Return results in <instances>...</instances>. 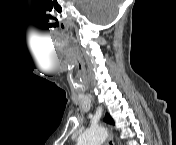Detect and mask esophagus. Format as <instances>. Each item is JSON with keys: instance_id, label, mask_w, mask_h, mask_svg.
I'll return each instance as SVG.
<instances>
[{"instance_id": "34e87169", "label": "esophagus", "mask_w": 176, "mask_h": 145, "mask_svg": "<svg viewBox=\"0 0 176 145\" xmlns=\"http://www.w3.org/2000/svg\"><path fill=\"white\" fill-rule=\"evenodd\" d=\"M106 145H115L114 140H113V135H112L111 131L109 132V136H108V140H107Z\"/></svg>"}]
</instances>
